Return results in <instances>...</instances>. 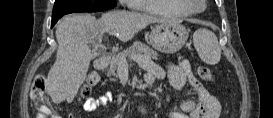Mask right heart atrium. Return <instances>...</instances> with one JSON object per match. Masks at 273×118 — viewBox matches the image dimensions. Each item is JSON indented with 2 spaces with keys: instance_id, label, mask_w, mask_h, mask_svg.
I'll list each match as a JSON object with an SVG mask.
<instances>
[{
  "instance_id": "1",
  "label": "right heart atrium",
  "mask_w": 273,
  "mask_h": 118,
  "mask_svg": "<svg viewBox=\"0 0 273 118\" xmlns=\"http://www.w3.org/2000/svg\"><path fill=\"white\" fill-rule=\"evenodd\" d=\"M124 2H128V0H124Z\"/></svg>"
}]
</instances>
